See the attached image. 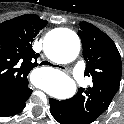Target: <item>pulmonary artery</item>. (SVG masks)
Here are the masks:
<instances>
[{
	"label": "pulmonary artery",
	"mask_w": 124,
	"mask_h": 124,
	"mask_svg": "<svg viewBox=\"0 0 124 124\" xmlns=\"http://www.w3.org/2000/svg\"><path fill=\"white\" fill-rule=\"evenodd\" d=\"M84 70L85 66L81 62L77 63L73 69L74 78L80 87L84 86L85 84Z\"/></svg>",
	"instance_id": "e3ab8cb5"
}]
</instances>
